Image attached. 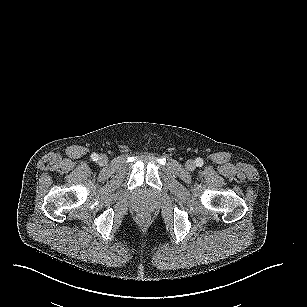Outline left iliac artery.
Here are the masks:
<instances>
[{
	"instance_id": "44dca946",
	"label": "left iliac artery",
	"mask_w": 307,
	"mask_h": 307,
	"mask_svg": "<svg viewBox=\"0 0 307 307\" xmlns=\"http://www.w3.org/2000/svg\"><path fill=\"white\" fill-rule=\"evenodd\" d=\"M195 163L199 167H202V165L204 164L202 158L200 157L196 159Z\"/></svg>"
}]
</instances>
